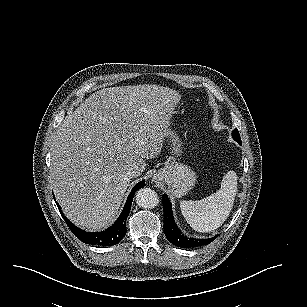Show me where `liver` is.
<instances>
[{
    "label": "liver",
    "mask_w": 307,
    "mask_h": 307,
    "mask_svg": "<svg viewBox=\"0 0 307 307\" xmlns=\"http://www.w3.org/2000/svg\"><path fill=\"white\" fill-rule=\"evenodd\" d=\"M180 100L171 88L140 84L107 87L70 110L51 150L52 191L76 227L96 232L119 213L130 184L162 145L171 110Z\"/></svg>",
    "instance_id": "liver-1"
}]
</instances>
